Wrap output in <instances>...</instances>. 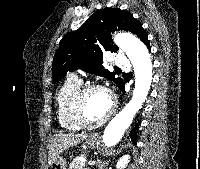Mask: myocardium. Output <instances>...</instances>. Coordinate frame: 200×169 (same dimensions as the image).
Instances as JSON below:
<instances>
[{
	"label": "myocardium",
	"instance_id": "f54148a6",
	"mask_svg": "<svg viewBox=\"0 0 200 169\" xmlns=\"http://www.w3.org/2000/svg\"><path fill=\"white\" fill-rule=\"evenodd\" d=\"M93 91H101V92L106 93L110 99L111 107L105 117H103L101 120H99L97 122L90 123L86 120V117H85L84 104H85V99H86L87 95ZM115 111H116V103H115L111 93L105 87H103L101 85H88V86L83 87L77 94L75 101H74L75 118H76L78 124L80 125V127L83 129L91 130V129H95V128L102 126L113 116Z\"/></svg>",
	"mask_w": 200,
	"mask_h": 169
}]
</instances>
